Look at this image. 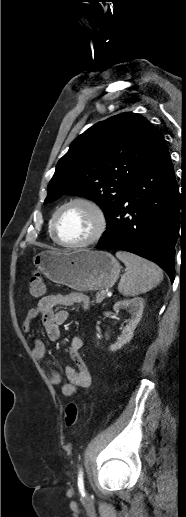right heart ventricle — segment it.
Here are the masks:
<instances>
[{"mask_svg": "<svg viewBox=\"0 0 186 517\" xmlns=\"http://www.w3.org/2000/svg\"><path fill=\"white\" fill-rule=\"evenodd\" d=\"M48 229H49V234H50L51 238L54 240V238H53V236H52V233H51V220H50V222H49V227H48Z\"/></svg>", "mask_w": 186, "mask_h": 517, "instance_id": "obj_1", "label": "right heart ventricle"}]
</instances>
